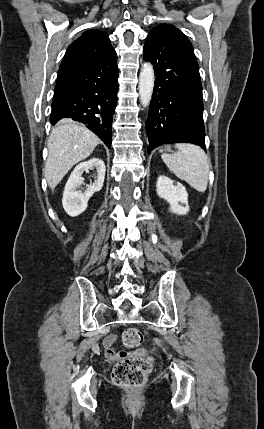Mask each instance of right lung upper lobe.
<instances>
[{"mask_svg": "<svg viewBox=\"0 0 264 429\" xmlns=\"http://www.w3.org/2000/svg\"><path fill=\"white\" fill-rule=\"evenodd\" d=\"M112 50L114 49L106 32L100 30L84 32L68 47L59 68L58 79L98 61Z\"/></svg>", "mask_w": 264, "mask_h": 429, "instance_id": "right-lung-upper-lobe-1", "label": "right lung upper lobe"}]
</instances>
